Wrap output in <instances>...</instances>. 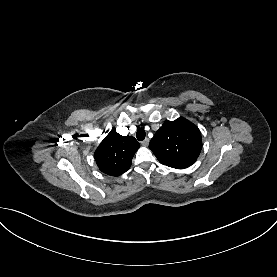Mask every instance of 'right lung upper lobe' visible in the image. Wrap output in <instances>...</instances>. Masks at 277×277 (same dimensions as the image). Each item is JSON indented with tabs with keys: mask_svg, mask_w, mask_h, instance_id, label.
Instances as JSON below:
<instances>
[{
	"mask_svg": "<svg viewBox=\"0 0 277 277\" xmlns=\"http://www.w3.org/2000/svg\"><path fill=\"white\" fill-rule=\"evenodd\" d=\"M139 147L134 137L121 136L112 130L96 149L94 158L101 172L119 176L130 168Z\"/></svg>",
	"mask_w": 277,
	"mask_h": 277,
	"instance_id": "right-lung-upper-lobe-1",
	"label": "right lung upper lobe"
}]
</instances>
